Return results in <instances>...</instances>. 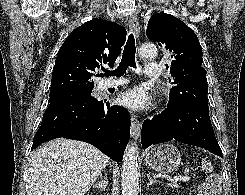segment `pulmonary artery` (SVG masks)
<instances>
[{
	"instance_id": "obj_1",
	"label": "pulmonary artery",
	"mask_w": 245,
	"mask_h": 195,
	"mask_svg": "<svg viewBox=\"0 0 245 195\" xmlns=\"http://www.w3.org/2000/svg\"><path fill=\"white\" fill-rule=\"evenodd\" d=\"M156 75H157V64L156 63L149 64L146 68V77L152 78ZM126 83H127V80L124 78H120V79L113 80V81L109 80V81L104 82L101 85V89L106 90L113 86H123Z\"/></svg>"
}]
</instances>
